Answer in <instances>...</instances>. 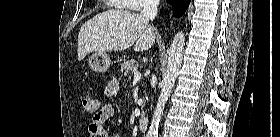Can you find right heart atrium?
I'll use <instances>...</instances> for the list:
<instances>
[{
	"instance_id": "obj_1",
	"label": "right heart atrium",
	"mask_w": 280,
	"mask_h": 137,
	"mask_svg": "<svg viewBox=\"0 0 280 137\" xmlns=\"http://www.w3.org/2000/svg\"><path fill=\"white\" fill-rule=\"evenodd\" d=\"M135 3V8L138 10L149 8L153 1L152 0H133Z\"/></svg>"
}]
</instances>
